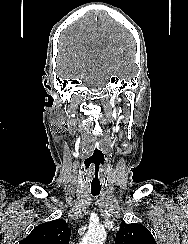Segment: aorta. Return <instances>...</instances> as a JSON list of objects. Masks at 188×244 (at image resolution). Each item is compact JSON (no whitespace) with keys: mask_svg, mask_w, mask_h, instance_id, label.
<instances>
[{"mask_svg":"<svg viewBox=\"0 0 188 244\" xmlns=\"http://www.w3.org/2000/svg\"><path fill=\"white\" fill-rule=\"evenodd\" d=\"M106 231L103 227L90 228L80 241V244H103L106 239Z\"/></svg>","mask_w":188,"mask_h":244,"instance_id":"aorta-1","label":"aorta"}]
</instances>
